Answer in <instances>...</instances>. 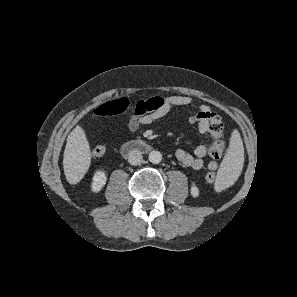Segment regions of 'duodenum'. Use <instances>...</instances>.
<instances>
[{
	"label": "duodenum",
	"instance_id": "410a0bca",
	"mask_svg": "<svg viewBox=\"0 0 297 297\" xmlns=\"http://www.w3.org/2000/svg\"><path fill=\"white\" fill-rule=\"evenodd\" d=\"M150 146L143 140H131L124 143L121 147V153L125 157H130L136 153H146Z\"/></svg>",
	"mask_w": 297,
	"mask_h": 297
}]
</instances>
